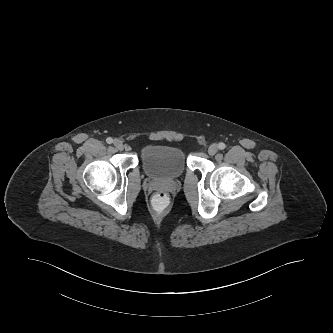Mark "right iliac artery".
<instances>
[{
    "instance_id": "1",
    "label": "right iliac artery",
    "mask_w": 333,
    "mask_h": 333,
    "mask_svg": "<svg viewBox=\"0 0 333 333\" xmlns=\"http://www.w3.org/2000/svg\"><path fill=\"white\" fill-rule=\"evenodd\" d=\"M106 142H107L108 144H111V143H113V139H112L111 137H108V138L106 139Z\"/></svg>"
}]
</instances>
